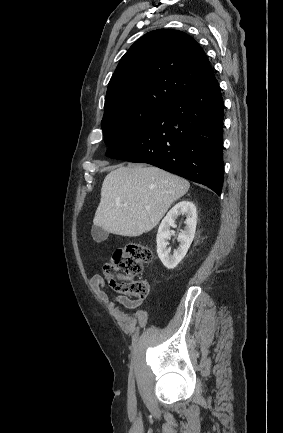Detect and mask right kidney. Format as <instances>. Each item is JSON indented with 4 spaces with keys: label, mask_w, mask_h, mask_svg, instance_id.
<instances>
[{
    "label": "right kidney",
    "mask_w": 283,
    "mask_h": 433,
    "mask_svg": "<svg viewBox=\"0 0 283 433\" xmlns=\"http://www.w3.org/2000/svg\"><path fill=\"white\" fill-rule=\"evenodd\" d=\"M185 216V228L178 235L179 247L170 255L167 248V240L172 235L170 227L174 225L175 220L180 216ZM197 224V212L195 205L190 201H181L177 203L162 220L157 233V254L167 269H174L185 257L195 235Z\"/></svg>",
    "instance_id": "right-kidney-1"
}]
</instances>
